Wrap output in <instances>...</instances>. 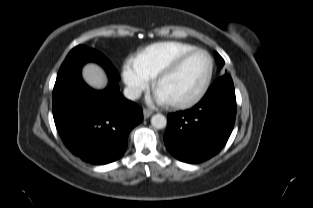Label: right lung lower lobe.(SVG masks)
<instances>
[{"label": "right lung lower lobe", "mask_w": 313, "mask_h": 208, "mask_svg": "<svg viewBox=\"0 0 313 208\" xmlns=\"http://www.w3.org/2000/svg\"><path fill=\"white\" fill-rule=\"evenodd\" d=\"M107 71L110 83L102 91L90 88L81 77L87 62ZM118 72L100 52L82 46L70 52L60 67L53 89V117L66 147L83 161L107 164L120 158L128 135L142 119V109L119 92Z\"/></svg>", "instance_id": "1"}]
</instances>
